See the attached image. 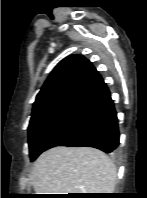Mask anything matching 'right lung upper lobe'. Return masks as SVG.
<instances>
[{
  "mask_svg": "<svg viewBox=\"0 0 147 198\" xmlns=\"http://www.w3.org/2000/svg\"><path fill=\"white\" fill-rule=\"evenodd\" d=\"M102 82L99 73L85 57L68 56L45 81L36 97L33 111L53 104H75Z\"/></svg>",
  "mask_w": 147,
  "mask_h": 198,
  "instance_id": "cb5924a9",
  "label": "right lung upper lobe"
}]
</instances>
